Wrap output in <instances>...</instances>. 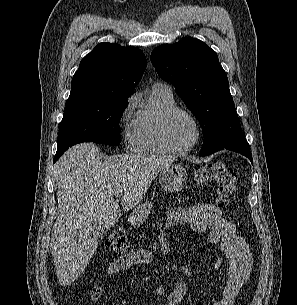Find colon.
Wrapping results in <instances>:
<instances>
[{
    "label": "colon",
    "mask_w": 297,
    "mask_h": 305,
    "mask_svg": "<svg viewBox=\"0 0 297 305\" xmlns=\"http://www.w3.org/2000/svg\"><path fill=\"white\" fill-rule=\"evenodd\" d=\"M198 183H214L217 192V204L220 207L229 205L235 192L236 174L222 162H214L198 169L195 173ZM107 249L112 252L121 253L128 247V237L125 230L114 229L107 238Z\"/></svg>",
    "instance_id": "5ec220e1"
}]
</instances>
